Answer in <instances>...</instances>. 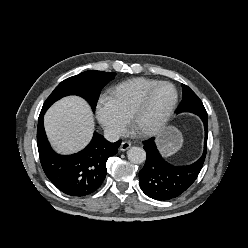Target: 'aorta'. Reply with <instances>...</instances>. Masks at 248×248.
Masks as SVG:
<instances>
[{"label":"aorta","instance_id":"1","mask_svg":"<svg viewBox=\"0 0 248 248\" xmlns=\"http://www.w3.org/2000/svg\"><path fill=\"white\" fill-rule=\"evenodd\" d=\"M128 160L134 164H141L146 159V152L143 148L133 146L127 151Z\"/></svg>","mask_w":248,"mask_h":248}]
</instances>
